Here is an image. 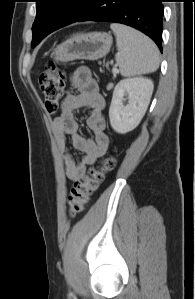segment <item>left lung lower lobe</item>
Returning <instances> with one entry per match:
<instances>
[{"label": "left lung lower lobe", "mask_w": 195, "mask_h": 299, "mask_svg": "<svg viewBox=\"0 0 195 299\" xmlns=\"http://www.w3.org/2000/svg\"><path fill=\"white\" fill-rule=\"evenodd\" d=\"M164 0H90L84 15L76 22L121 23L149 36L162 52Z\"/></svg>", "instance_id": "left-lung-lower-lobe-1"}]
</instances>
